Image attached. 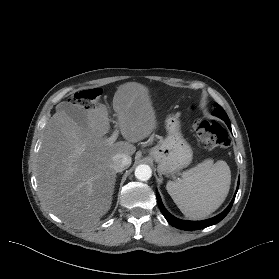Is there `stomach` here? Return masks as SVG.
<instances>
[{"label": "stomach", "mask_w": 279, "mask_h": 279, "mask_svg": "<svg viewBox=\"0 0 279 279\" xmlns=\"http://www.w3.org/2000/svg\"><path fill=\"white\" fill-rule=\"evenodd\" d=\"M168 135L150 150V156L158 164L159 172L175 174L192 161V149L180 131L178 116H169L166 120Z\"/></svg>", "instance_id": "1"}]
</instances>
